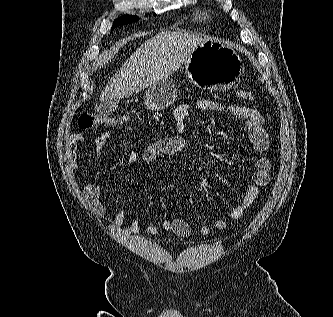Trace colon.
<instances>
[{"instance_id":"1","label":"colon","mask_w":333,"mask_h":317,"mask_svg":"<svg viewBox=\"0 0 333 317\" xmlns=\"http://www.w3.org/2000/svg\"><path fill=\"white\" fill-rule=\"evenodd\" d=\"M237 97L241 100L253 101V94L249 91L238 90ZM111 123V119L99 114L85 113L79 118V126L84 130H91Z\"/></svg>"}]
</instances>
